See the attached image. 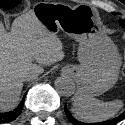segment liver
Listing matches in <instances>:
<instances>
[{
	"label": "liver",
	"instance_id": "1",
	"mask_svg": "<svg viewBox=\"0 0 125 125\" xmlns=\"http://www.w3.org/2000/svg\"><path fill=\"white\" fill-rule=\"evenodd\" d=\"M62 49L57 35L48 32L33 11L17 17L10 32L0 22V112L12 110L17 105L23 74H40L43 72L40 65L61 61L65 56Z\"/></svg>",
	"mask_w": 125,
	"mask_h": 125
}]
</instances>
